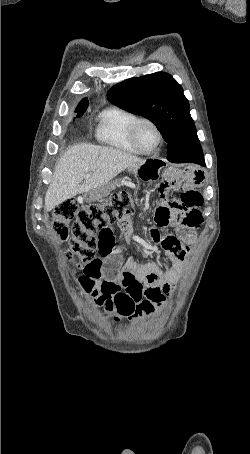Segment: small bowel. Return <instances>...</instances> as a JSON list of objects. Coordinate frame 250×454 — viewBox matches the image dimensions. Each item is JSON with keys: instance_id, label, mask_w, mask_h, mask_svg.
Segmentation results:
<instances>
[{"instance_id": "small-bowel-1", "label": "small bowel", "mask_w": 250, "mask_h": 454, "mask_svg": "<svg viewBox=\"0 0 250 454\" xmlns=\"http://www.w3.org/2000/svg\"><path fill=\"white\" fill-rule=\"evenodd\" d=\"M203 178L202 171L192 170L155 185L160 202L154 214L156 228L151 229L150 236L162 246L171 261L170 267L125 260L122 250L116 246L111 227L99 232L97 249L101 257L85 265L79 280L83 291L96 305L117 318L127 317L132 321H143L159 311L171 294L173 283L181 277L185 257L196 242V232L203 222L199 192ZM180 188L179 198H168L172 191ZM118 227L122 235L131 238L129 217L121 219ZM169 227L175 228L173 234L160 233L159 229Z\"/></svg>"}]
</instances>
